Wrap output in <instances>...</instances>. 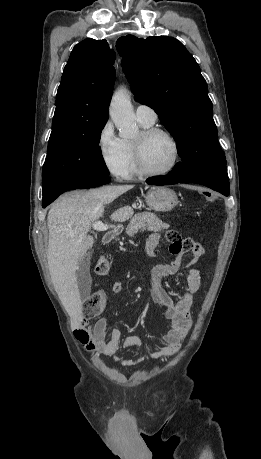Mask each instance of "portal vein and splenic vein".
Returning <instances> with one entry per match:
<instances>
[{"label": "portal vein and splenic vein", "mask_w": 261, "mask_h": 459, "mask_svg": "<svg viewBox=\"0 0 261 459\" xmlns=\"http://www.w3.org/2000/svg\"><path fill=\"white\" fill-rule=\"evenodd\" d=\"M92 228L93 230L95 231H106L109 229V226L107 224H104L102 221L100 220H96L93 224H92Z\"/></svg>", "instance_id": "portal-vein-and-splenic-vein-1"}]
</instances>
